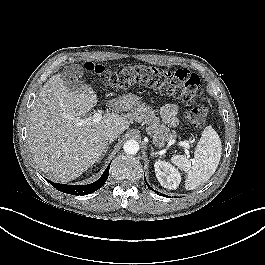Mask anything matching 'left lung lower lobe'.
<instances>
[{
  "label": "left lung lower lobe",
  "instance_id": "0a47b994",
  "mask_svg": "<svg viewBox=\"0 0 265 265\" xmlns=\"http://www.w3.org/2000/svg\"><path fill=\"white\" fill-rule=\"evenodd\" d=\"M144 179H145V176H144ZM145 182H146V180H145ZM147 184V183H146ZM147 186L151 189V190H153L148 184H147ZM154 192H156L157 194H159V192H157L156 190H153ZM160 195H162V196H165L164 194H160Z\"/></svg>",
  "mask_w": 265,
  "mask_h": 265
}]
</instances>
